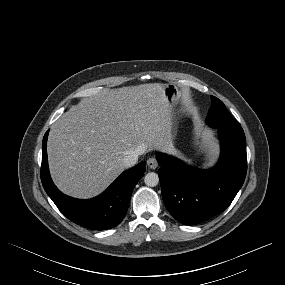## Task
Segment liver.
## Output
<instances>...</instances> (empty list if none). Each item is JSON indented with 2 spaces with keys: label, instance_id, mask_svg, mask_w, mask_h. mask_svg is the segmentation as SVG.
Here are the masks:
<instances>
[{
  "label": "liver",
  "instance_id": "1",
  "mask_svg": "<svg viewBox=\"0 0 285 285\" xmlns=\"http://www.w3.org/2000/svg\"><path fill=\"white\" fill-rule=\"evenodd\" d=\"M165 84L110 89L84 98L50 131L47 152L56 186L76 198L104 191L126 168L124 157L173 152V106Z\"/></svg>",
  "mask_w": 285,
  "mask_h": 285
}]
</instances>
